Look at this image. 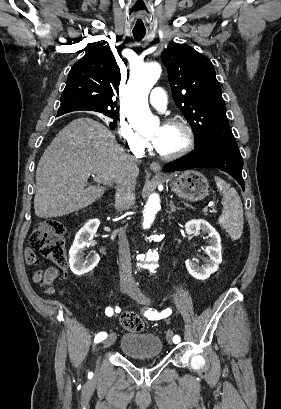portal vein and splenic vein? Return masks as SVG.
<instances>
[{"label": "portal vein and splenic vein", "instance_id": "18ae733b", "mask_svg": "<svg viewBox=\"0 0 281 409\" xmlns=\"http://www.w3.org/2000/svg\"><path fill=\"white\" fill-rule=\"evenodd\" d=\"M97 182L99 185H105L107 189H112L114 187V182L112 181V178H108V176H99ZM211 213L216 214L217 210L213 209L211 210Z\"/></svg>", "mask_w": 281, "mask_h": 409}]
</instances>
